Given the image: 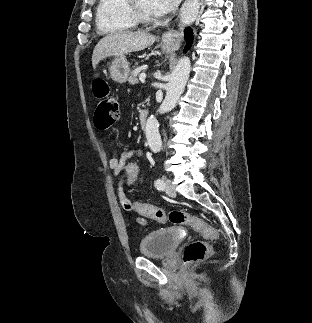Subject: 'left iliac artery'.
I'll use <instances>...</instances> for the list:
<instances>
[{
	"mask_svg": "<svg viewBox=\"0 0 312 323\" xmlns=\"http://www.w3.org/2000/svg\"><path fill=\"white\" fill-rule=\"evenodd\" d=\"M154 185L158 190H163L164 189V182L161 179H156L155 182H154Z\"/></svg>",
	"mask_w": 312,
	"mask_h": 323,
	"instance_id": "44dca946",
	"label": "left iliac artery"
}]
</instances>
